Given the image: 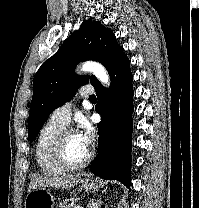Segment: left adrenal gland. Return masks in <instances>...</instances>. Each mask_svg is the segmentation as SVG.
Masks as SVG:
<instances>
[{
	"label": "left adrenal gland",
	"instance_id": "a2214340",
	"mask_svg": "<svg viewBox=\"0 0 199 208\" xmlns=\"http://www.w3.org/2000/svg\"><path fill=\"white\" fill-rule=\"evenodd\" d=\"M103 202L99 199L97 200H92L91 202L88 203L87 208H98L101 206Z\"/></svg>",
	"mask_w": 199,
	"mask_h": 208
}]
</instances>
